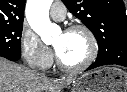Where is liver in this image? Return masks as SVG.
Masks as SVG:
<instances>
[{
    "instance_id": "liver-1",
    "label": "liver",
    "mask_w": 127,
    "mask_h": 92,
    "mask_svg": "<svg viewBox=\"0 0 127 92\" xmlns=\"http://www.w3.org/2000/svg\"><path fill=\"white\" fill-rule=\"evenodd\" d=\"M74 81L70 76L49 79L0 57V92H61Z\"/></svg>"
}]
</instances>
